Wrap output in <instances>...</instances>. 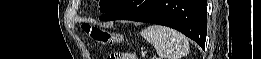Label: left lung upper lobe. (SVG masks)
<instances>
[{"instance_id": "5c2ea615", "label": "left lung upper lobe", "mask_w": 261, "mask_h": 59, "mask_svg": "<svg viewBox=\"0 0 261 59\" xmlns=\"http://www.w3.org/2000/svg\"><path fill=\"white\" fill-rule=\"evenodd\" d=\"M122 0H101L100 1V11L101 12H108L113 7H115L118 3H120Z\"/></svg>"}]
</instances>
